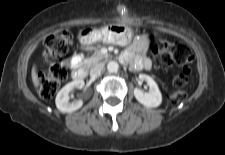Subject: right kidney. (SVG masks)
<instances>
[{
	"mask_svg": "<svg viewBox=\"0 0 225 155\" xmlns=\"http://www.w3.org/2000/svg\"><path fill=\"white\" fill-rule=\"evenodd\" d=\"M84 86V81L83 80H74L68 84H66L57 94L55 103L56 107L58 108L59 111L64 112V113H70L73 111L78 110L79 108L82 107L83 101L82 100H76L73 102H69V93L74 89H82Z\"/></svg>",
	"mask_w": 225,
	"mask_h": 155,
	"instance_id": "1",
	"label": "right kidney"
}]
</instances>
